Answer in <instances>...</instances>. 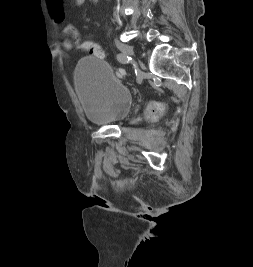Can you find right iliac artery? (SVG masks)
Listing matches in <instances>:
<instances>
[{
	"label": "right iliac artery",
	"mask_w": 253,
	"mask_h": 267,
	"mask_svg": "<svg viewBox=\"0 0 253 267\" xmlns=\"http://www.w3.org/2000/svg\"><path fill=\"white\" fill-rule=\"evenodd\" d=\"M117 60L120 62V63H123V64H126L129 62V57L125 54H118L117 55Z\"/></svg>",
	"instance_id": "1"
}]
</instances>
